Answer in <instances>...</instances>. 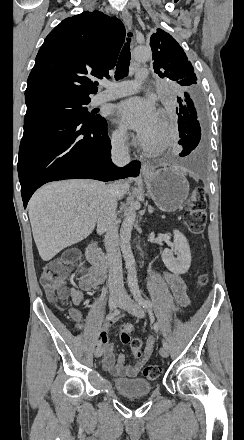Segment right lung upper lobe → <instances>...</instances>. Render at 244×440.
Segmentation results:
<instances>
[{
	"instance_id": "1",
	"label": "right lung upper lobe",
	"mask_w": 244,
	"mask_h": 440,
	"mask_svg": "<svg viewBox=\"0 0 244 440\" xmlns=\"http://www.w3.org/2000/svg\"><path fill=\"white\" fill-rule=\"evenodd\" d=\"M124 38L123 23L99 11L64 19L49 33L36 56L25 99L90 98L97 92L90 77H109Z\"/></svg>"
}]
</instances>
